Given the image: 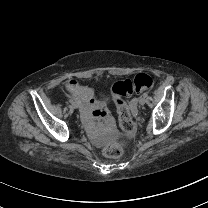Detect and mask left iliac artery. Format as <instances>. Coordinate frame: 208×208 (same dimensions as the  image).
Returning <instances> with one entry per match:
<instances>
[{
  "label": "left iliac artery",
  "instance_id": "1",
  "mask_svg": "<svg viewBox=\"0 0 208 208\" xmlns=\"http://www.w3.org/2000/svg\"><path fill=\"white\" fill-rule=\"evenodd\" d=\"M143 96H144V97H147V96H148V93H147V92H145V93L143 94Z\"/></svg>",
  "mask_w": 208,
  "mask_h": 208
}]
</instances>
